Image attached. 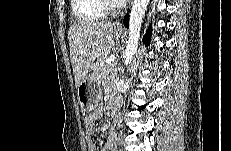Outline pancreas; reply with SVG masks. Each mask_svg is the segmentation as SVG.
Masks as SVG:
<instances>
[{
    "label": "pancreas",
    "instance_id": "cf45deb5",
    "mask_svg": "<svg viewBox=\"0 0 231 151\" xmlns=\"http://www.w3.org/2000/svg\"><path fill=\"white\" fill-rule=\"evenodd\" d=\"M106 59H100L95 65V76L98 81L103 80L105 76L112 73L115 70V63L107 64Z\"/></svg>",
    "mask_w": 231,
    "mask_h": 151
}]
</instances>
